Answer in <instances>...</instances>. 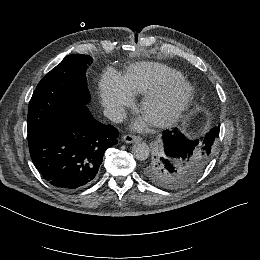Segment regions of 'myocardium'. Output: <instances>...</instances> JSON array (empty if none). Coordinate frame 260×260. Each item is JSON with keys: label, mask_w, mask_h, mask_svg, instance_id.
I'll use <instances>...</instances> for the list:
<instances>
[{"label": "myocardium", "mask_w": 260, "mask_h": 260, "mask_svg": "<svg viewBox=\"0 0 260 260\" xmlns=\"http://www.w3.org/2000/svg\"><path fill=\"white\" fill-rule=\"evenodd\" d=\"M175 86H182L184 88V96L179 103L163 107L162 103L165 96ZM194 94L195 90L191 82L181 77L166 81L158 88L147 93L141 102L140 108L147 113H152L155 109L161 110L162 114L153 117L151 123L155 128H165L175 123L187 111L194 99Z\"/></svg>", "instance_id": "myocardium-1"}]
</instances>
